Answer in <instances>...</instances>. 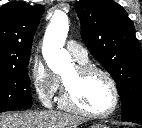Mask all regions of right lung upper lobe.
<instances>
[{
  "instance_id": "1",
  "label": "right lung upper lobe",
  "mask_w": 142,
  "mask_h": 128,
  "mask_svg": "<svg viewBox=\"0 0 142 128\" xmlns=\"http://www.w3.org/2000/svg\"><path fill=\"white\" fill-rule=\"evenodd\" d=\"M43 11L42 5L16 1L0 7V69L29 62L33 36Z\"/></svg>"
}]
</instances>
